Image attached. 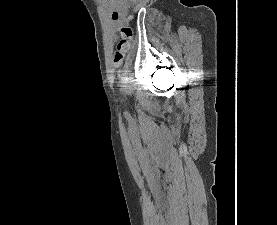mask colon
Instances as JSON below:
<instances>
[{"label":"colon","mask_w":277,"mask_h":225,"mask_svg":"<svg viewBox=\"0 0 277 225\" xmlns=\"http://www.w3.org/2000/svg\"><path fill=\"white\" fill-rule=\"evenodd\" d=\"M131 4L135 5L139 2V0H129ZM121 32V40L119 41L117 45V49L114 54V63L115 64H120L126 53L128 52L130 48V42L131 38L133 36V30L130 26H123L120 29Z\"/></svg>","instance_id":"5ec220e1"}]
</instances>
